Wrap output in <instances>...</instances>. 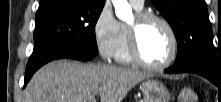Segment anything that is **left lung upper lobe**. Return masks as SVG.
<instances>
[{"instance_id":"5c2ea615","label":"left lung upper lobe","mask_w":221,"mask_h":102,"mask_svg":"<svg viewBox=\"0 0 221 102\" xmlns=\"http://www.w3.org/2000/svg\"><path fill=\"white\" fill-rule=\"evenodd\" d=\"M169 22L177 39L174 65L199 62L221 73V53L214 49L205 0H151Z\"/></svg>"}]
</instances>
